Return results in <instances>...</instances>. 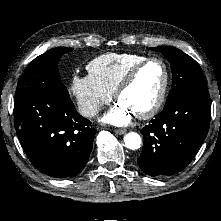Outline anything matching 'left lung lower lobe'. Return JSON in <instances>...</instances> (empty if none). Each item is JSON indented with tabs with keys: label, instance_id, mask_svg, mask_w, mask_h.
<instances>
[{
	"label": "left lung lower lobe",
	"instance_id": "obj_1",
	"mask_svg": "<svg viewBox=\"0 0 221 221\" xmlns=\"http://www.w3.org/2000/svg\"><path fill=\"white\" fill-rule=\"evenodd\" d=\"M208 89L192 91L155 116L141 133L138 158L147 175L170 176L182 171L200 149L210 125Z\"/></svg>",
	"mask_w": 221,
	"mask_h": 221
}]
</instances>
